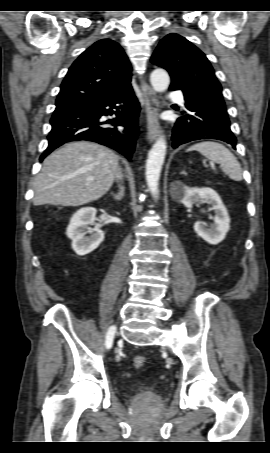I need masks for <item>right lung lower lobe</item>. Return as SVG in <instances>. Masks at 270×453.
<instances>
[{"label":"right lung lower lobe","instance_id":"obj_1","mask_svg":"<svg viewBox=\"0 0 270 453\" xmlns=\"http://www.w3.org/2000/svg\"><path fill=\"white\" fill-rule=\"evenodd\" d=\"M139 110L130 84L98 100L57 105L50 121L49 144L40 161L62 144L77 140L100 143L131 160L138 135ZM111 115L115 118L101 120L102 116ZM116 126H123L124 130H118Z\"/></svg>","mask_w":270,"mask_h":453}]
</instances>
